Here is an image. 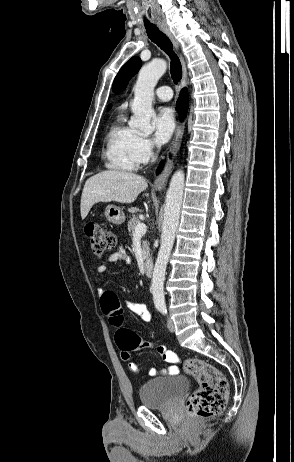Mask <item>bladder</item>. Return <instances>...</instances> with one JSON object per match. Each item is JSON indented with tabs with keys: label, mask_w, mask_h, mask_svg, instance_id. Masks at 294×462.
I'll return each instance as SVG.
<instances>
[{
	"label": "bladder",
	"mask_w": 294,
	"mask_h": 462,
	"mask_svg": "<svg viewBox=\"0 0 294 462\" xmlns=\"http://www.w3.org/2000/svg\"><path fill=\"white\" fill-rule=\"evenodd\" d=\"M188 388L189 383L183 376L158 378L142 383L138 395L143 406L160 409L172 405Z\"/></svg>",
	"instance_id": "1"
}]
</instances>
